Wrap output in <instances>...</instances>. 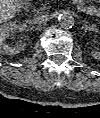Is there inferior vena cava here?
I'll return each instance as SVG.
<instances>
[{
  "instance_id": "inferior-vena-cava-1",
  "label": "inferior vena cava",
  "mask_w": 100,
  "mask_h": 118,
  "mask_svg": "<svg viewBox=\"0 0 100 118\" xmlns=\"http://www.w3.org/2000/svg\"><path fill=\"white\" fill-rule=\"evenodd\" d=\"M34 23L37 25L45 24L49 21V15L48 14H38L34 17Z\"/></svg>"
}]
</instances>
